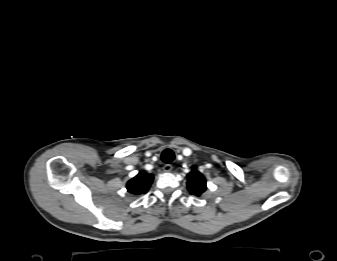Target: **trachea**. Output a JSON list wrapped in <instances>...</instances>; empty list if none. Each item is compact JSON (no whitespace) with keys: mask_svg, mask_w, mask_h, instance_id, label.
Returning a JSON list of instances; mask_svg holds the SVG:
<instances>
[{"mask_svg":"<svg viewBox=\"0 0 337 261\" xmlns=\"http://www.w3.org/2000/svg\"><path fill=\"white\" fill-rule=\"evenodd\" d=\"M174 152L171 149H165L161 154V159L164 163H170L174 160Z\"/></svg>","mask_w":337,"mask_h":261,"instance_id":"1","label":"trachea"}]
</instances>
